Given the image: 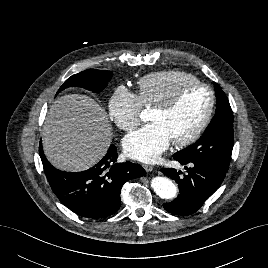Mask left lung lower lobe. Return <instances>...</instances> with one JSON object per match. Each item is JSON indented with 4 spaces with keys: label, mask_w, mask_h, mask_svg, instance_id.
I'll list each match as a JSON object with an SVG mask.
<instances>
[{
    "label": "left lung lower lobe",
    "mask_w": 268,
    "mask_h": 268,
    "mask_svg": "<svg viewBox=\"0 0 268 268\" xmlns=\"http://www.w3.org/2000/svg\"><path fill=\"white\" fill-rule=\"evenodd\" d=\"M177 161L182 165H190V168L185 166L188 174L184 177H180V172L173 168L161 169L164 174L176 181L180 192L172 202L165 203L164 208L170 213L186 216L195 213L216 191L223 182L226 171L209 163Z\"/></svg>",
    "instance_id": "obj_1"
}]
</instances>
